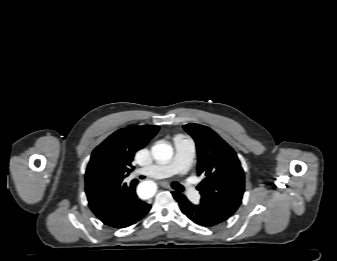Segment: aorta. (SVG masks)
I'll return each instance as SVG.
<instances>
[{"instance_id": "762f6f07", "label": "aorta", "mask_w": 337, "mask_h": 261, "mask_svg": "<svg viewBox=\"0 0 337 261\" xmlns=\"http://www.w3.org/2000/svg\"><path fill=\"white\" fill-rule=\"evenodd\" d=\"M152 156L160 164H166L173 156V148L169 144L158 143L151 149ZM157 186L153 181L141 182L137 187V193L141 198H151L156 192Z\"/></svg>"}]
</instances>
